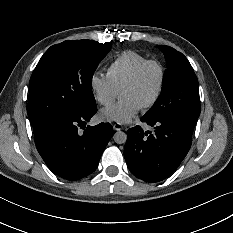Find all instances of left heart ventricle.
Segmentation results:
<instances>
[{
    "label": "left heart ventricle",
    "mask_w": 233,
    "mask_h": 233,
    "mask_svg": "<svg viewBox=\"0 0 233 233\" xmlns=\"http://www.w3.org/2000/svg\"><path fill=\"white\" fill-rule=\"evenodd\" d=\"M160 81V70L156 65L148 66L136 84L123 88L119 92L120 98L132 97L139 103L145 105L155 95Z\"/></svg>",
    "instance_id": "left-heart-ventricle-1"
}]
</instances>
